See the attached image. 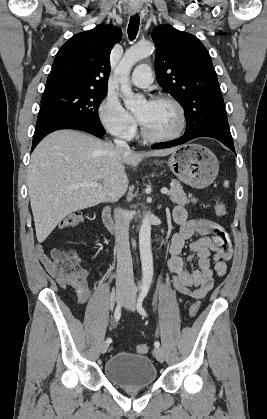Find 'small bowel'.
<instances>
[{"instance_id":"obj_1","label":"small bowel","mask_w":267,"mask_h":419,"mask_svg":"<svg viewBox=\"0 0 267 419\" xmlns=\"http://www.w3.org/2000/svg\"><path fill=\"white\" fill-rule=\"evenodd\" d=\"M172 217L180 226L179 231L172 237L171 256L168 260L173 287L181 294L196 299L203 298L213 288L215 278L226 274L227 262L232 256L230 240L216 222L206 218L188 219L187 211L181 205L174 208ZM194 237L196 238L193 239ZM187 242L188 253L182 257L181 253ZM36 255L61 288L72 286L75 289L80 306L88 303L92 291L101 284L97 282L91 289L85 270L71 277L58 275L41 246L37 247ZM193 261L196 262V268L191 272L185 270V262Z\"/></svg>"}]
</instances>
